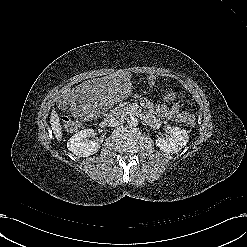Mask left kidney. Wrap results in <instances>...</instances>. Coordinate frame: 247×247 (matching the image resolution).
Masks as SVG:
<instances>
[{
  "instance_id": "left-kidney-1",
  "label": "left kidney",
  "mask_w": 247,
  "mask_h": 247,
  "mask_svg": "<svg viewBox=\"0 0 247 247\" xmlns=\"http://www.w3.org/2000/svg\"><path fill=\"white\" fill-rule=\"evenodd\" d=\"M167 131L170 135L164 137L158 136L156 145L164 152L177 153L179 152L189 140L188 133L179 127H167Z\"/></svg>"
}]
</instances>
